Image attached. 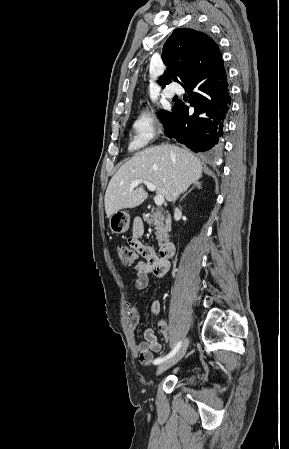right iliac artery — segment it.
<instances>
[{"mask_svg":"<svg viewBox=\"0 0 289 449\" xmlns=\"http://www.w3.org/2000/svg\"><path fill=\"white\" fill-rule=\"evenodd\" d=\"M182 342L179 341L177 343V345L174 347V349L167 354L166 356L162 357V358H157L154 360L153 364L158 365L160 363H162L163 361H166L167 359L171 358L172 356H174L176 354V352L180 349Z\"/></svg>","mask_w":289,"mask_h":449,"instance_id":"obj_1","label":"right iliac artery"}]
</instances>
